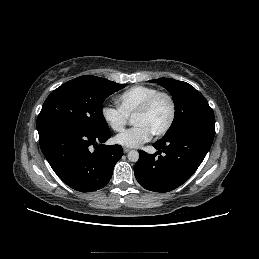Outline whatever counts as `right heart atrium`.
Wrapping results in <instances>:
<instances>
[{"label": "right heart atrium", "instance_id": "right-heart-atrium-1", "mask_svg": "<svg viewBox=\"0 0 259 259\" xmlns=\"http://www.w3.org/2000/svg\"><path fill=\"white\" fill-rule=\"evenodd\" d=\"M101 116L104 122L115 132H121L125 128L128 117L118 107L103 105Z\"/></svg>", "mask_w": 259, "mask_h": 259}]
</instances>
